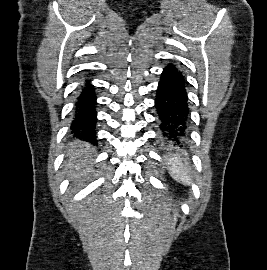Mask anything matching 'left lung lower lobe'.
Listing matches in <instances>:
<instances>
[{"mask_svg":"<svg viewBox=\"0 0 267 270\" xmlns=\"http://www.w3.org/2000/svg\"><path fill=\"white\" fill-rule=\"evenodd\" d=\"M186 81L173 65H167L159 81L155 107L160 139L164 145L177 146L189 137V107Z\"/></svg>","mask_w":267,"mask_h":270,"instance_id":"1","label":"left lung lower lobe"}]
</instances>
